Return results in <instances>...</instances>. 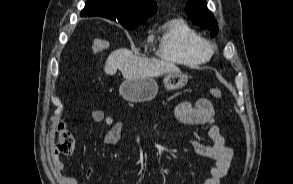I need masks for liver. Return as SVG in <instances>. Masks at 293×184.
Returning <instances> with one entry per match:
<instances>
[{"label":"liver","mask_w":293,"mask_h":184,"mask_svg":"<svg viewBox=\"0 0 293 184\" xmlns=\"http://www.w3.org/2000/svg\"><path fill=\"white\" fill-rule=\"evenodd\" d=\"M117 69L121 71L125 79L157 77L169 72L180 71L173 63L139 57L126 48L111 52L106 60L104 67L106 74L114 75Z\"/></svg>","instance_id":"1"}]
</instances>
